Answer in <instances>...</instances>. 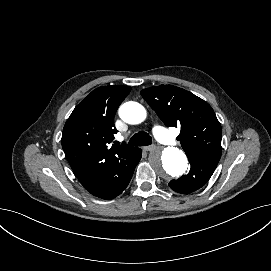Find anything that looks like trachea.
Listing matches in <instances>:
<instances>
[{"label":"trachea","instance_id":"1","mask_svg":"<svg viewBox=\"0 0 271 271\" xmlns=\"http://www.w3.org/2000/svg\"><path fill=\"white\" fill-rule=\"evenodd\" d=\"M151 143L152 138L145 131H139L138 133L134 134L129 141V145L131 146H147Z\"/></svg>","mask_w":271,"mask_h":271}]
</instances>
